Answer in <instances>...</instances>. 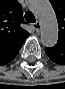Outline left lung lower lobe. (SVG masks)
Wrapping results in <instances>:
<instances>
[{"mask_svg": "<svg viewBox=\"0 0 65 89\" xmlns=\"http://www.w3.org/2000/svg\"><path fill=\"white\" fill-rule=\"evenodd\" d=\"M47 56L55 63L65 65V41L58 40L52 48H45Z\"/></svg>", "mask_w": 65, "mask_h": 89, "instance_id": "0a47b994", "label": "left lung lower lobe"}]
</instances>
